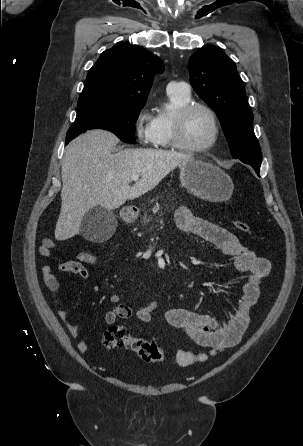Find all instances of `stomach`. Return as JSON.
I'll return each instance as SVG.
<instances>
[{
  "label": "stomach",
  "instance_id": "stomach-1",
  "mask_svg": "<svg viewBox=\"0 0 303 446\" xmlns=\"http://www.w3.org/2000/svg\"><path fill=\"white\" fill-rule=\"evenodd\" d=\"M180 181L188 192L210 202H225L232 196L234 184L228 174L219 167L192 159L180 166ZM137 212L132 209L122 214L132 220Z\"/></svg>",
  "mask_w": 303,
  "mask_h": 446
}]
</instances>
